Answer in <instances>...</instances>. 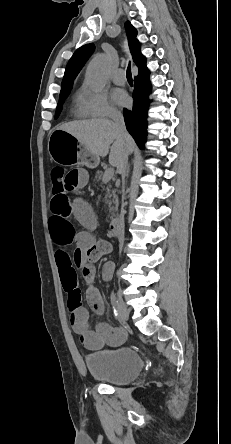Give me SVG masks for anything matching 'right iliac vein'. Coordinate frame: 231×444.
I'll return each instance as SVG.
<instances>
[{
  "label": "right iliac vein",
  "instance_id": "obj_1",
  "mask_svg": "<svg viewBox=\"0 0 231 444\" xmlns=\"http://www.w3.org/2000/svg\"><path fill=\"white\" fill-rule=\"evenodd\" d=\"M118 304H117V308H118V312H119V317L124 320L127 321L128 317H129V313L128 310L125 306V304L123 303L120 294H118Z\"/></svg>",
  "mask_w": 231,
  "mask_h": 444
}]
</instances>
